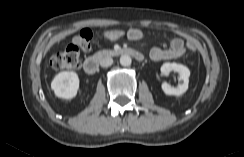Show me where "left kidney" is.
Segmentation results:
<instances>
[{
	"instance_id": "5707ae66",
	"label": "left kidney",
	"mask_w": 244,
	"mask_h": 157,
	"mask_svg": "<svg viewBox=\"0 0 244 157\" xmlns=\"http://www.w3.org/2000/svg\"><path fill=\"white\" fill-rule=\"evenodd\" d=\"M171 71L179 74V83L177 87H172L168 83L164 82L162 84V89L167 95L180 96L188 89L190 70L188 67L178 63L167 62L161 66V73L163 75H168Z\"/></svg>"
}]
</instances>
